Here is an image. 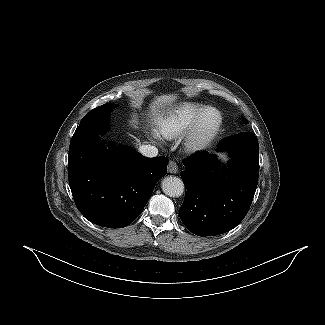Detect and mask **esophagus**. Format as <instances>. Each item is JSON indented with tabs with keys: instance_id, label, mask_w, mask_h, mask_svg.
<instances>
[{
	"instance_id": "obj_1",
	"label": "esophagus",
	"mask_w": 325,
	"mask_h": 325,
	"mask_svg": "<svg viewBox=\"0 0 325 325\" xmlns=\"http://www.w3.org/2000/svg\"><path fill=\"white\" fill-rule=\"evenodd\" d=\"M168 172L172 174L178 173V166L175 161H170L168 164Z\"/></svg>"
}]
</instances>
